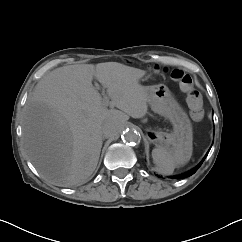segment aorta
Masks as SVG:
<instances>
[{
    "label": "aorta",
    "mask_w": 242,
    "mask_h": 242,
    "mask_svg": "<svg viewBox=\"0 0 242 242\" xmlns=\"http://www.w3.org/2000/svg\"><path fill=\"white\" fill-rule=\"evenodd\" d=\"M122 139L127 143H136L140 140V134L135 129H127L123 132Z\"/></svg>",
    "instance_id": "aorta-1"
}]
</instances>
